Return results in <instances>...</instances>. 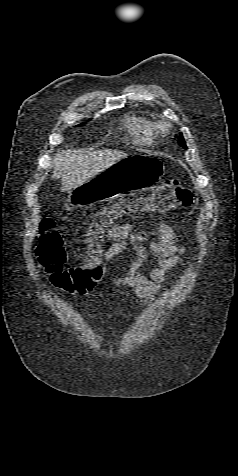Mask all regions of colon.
Wrapping results in <instances>:
<instances>
[{"instance_id":"obj_1","label":"colon","mask_w":238,"mask_h":476,"mask_svg":"<svg viewBox=\"0 0 238 476\" xmlns=\"http://www.w3.org/2000/svg\"><path fill=\"white\" fill-rule=\"evenodd\" d=\"M195 201L193 192L178 180H167L155 190L134 202L118 203L104 210L87 225L89 258L73 267H65L66 251L63 239L55 229L54 221L45 217L39 228L36 256L49 283L68 293L91 290L103 276L100 266V242L110 224L123 216L153 212H169L191 206Z\"/></svg>"}]
</instances>
